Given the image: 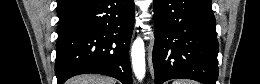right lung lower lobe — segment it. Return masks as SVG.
Listing matches in <instances>:
<instances>
[{
  "label": "right lung lower lobe",
  "instance_id": "obj_1",
  "mask_svg": "<svg viewBox=\"0 0 260 84\" xmlns=\"http://www.w3.org/2000/svg\"><path fill=\"white\" fill-rule=\"evenodd\" d=\"M133 0H92L59 22L57 84L85 73L132 84L129 46L134 26Z\"/></svg>",
  "mask_w": 260,
  "mask_h": 84
}]
</instances>
